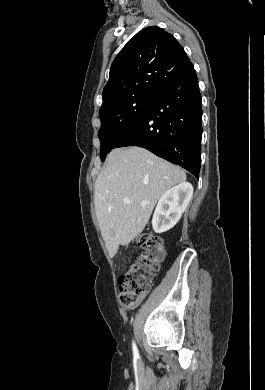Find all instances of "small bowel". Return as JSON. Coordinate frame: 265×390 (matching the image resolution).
Segmentation results:
<instances>
[{"mask_svg": "<svg viewBox=\"0 0 265 390\" xmlns=\"http://www.w3.org/2000/svg\"><path fill=\"white\" fill-rule=\"evenodd\" d=\"M136 305H137V303L134 304V305H131V306H127L126 309H127V310L133 309L134 307H136Z\"/></svg>", "mask_w": 265, "mask_h": 390, "instance_id": "1", "label": "small bowel"}]
</instances>
